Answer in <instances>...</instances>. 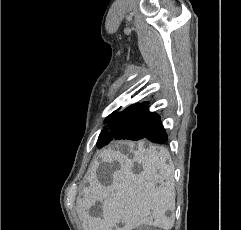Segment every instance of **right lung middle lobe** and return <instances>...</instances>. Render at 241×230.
Instances as JSON below:
<instances>
[{"label": "right lung middle lobe", "mask_w": 241, "mask_h": 230, "mask_svg": "<svg viewBox=\"0 0 241 230\" xmlns=\"http://www.w3.org/2000/svg\"><path fill=\"white\" fill-rule=\"evenodd\" d=\"M147 105H143L135 115H124L122 113H112L106 120L108 126L104 127L97 141V147L102 148L113 140H139L137 133L130 130V126L139 121V113L146 110Z\"/></svg>", "instance_id": "right-lung-middle-lobe-1"}]
</instances>
